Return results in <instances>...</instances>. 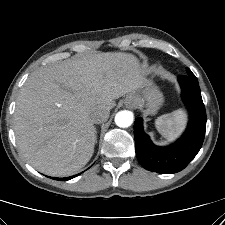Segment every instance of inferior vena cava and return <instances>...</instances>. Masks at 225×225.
Segmentation results:
<instances>
[{
	"instance_id": "obj_1",
	"label": "inferior vena cava",
	"mask_w": 225,
	"mask_h": 225,
	"mask_svg": "<svg viewBox=\"0 0 225 225\" xmlns=\"http://www.w3.org/2000/svg\"><path fill=\"white\" fill-rule=\"evenodd\" d=\"M109 115H110V110L108 108H101V109L95 110L92 113L91 119L93 123L99 124V123L105 122L109 118Z\"/></svg>"
}]
</instances>
